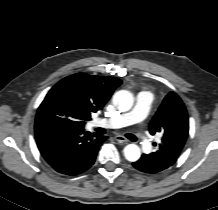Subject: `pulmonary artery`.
<instances>
[{
  "mask_svg": "<svg viewBox=\"0 0 218 210\" xmlns=\"http://www.w3.org/2000/svg\"><path fill=\"white\" fill-rule=\"evenodd\" d=\"M153 102V94L148 89H143L137 97V104L130 112L122 113L117 116L108 118V119H95L90 122V126H100L107 128H120L132 124H138L142 122L152 105ZM136 136L140 140V144L142 149L145 152H149L152 150V143L149 136L143 132L142 130L136 131Z\"/></svg>",
  "mask_w": 218,
  "mask_h": 210,
  "instance_id": "obj_1",
  "label": "pulmonary artery"
}]
</instances>
